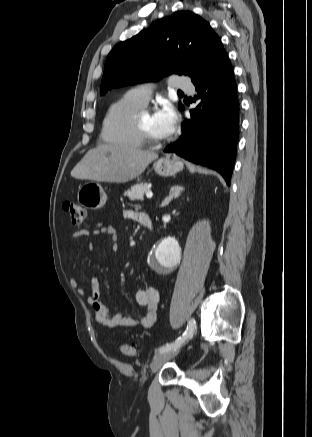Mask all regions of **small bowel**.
I'll return each mask as SVG.
<instances>
[{
    "label": "small bowel",
    "instance_id": "obj_1",
    "mask_svg": "<svg viewBox=\"0 0 312 437\" xmlns=\"http://www.w3.org/2000/svg\"><path fill=\"white\" fill-rule=\"evenodd\" d=\"M125 215L134 221L141 223L144 214L126 211ZM90 235H107L111 239L112 248H117L118 233L114 226H105L99 230H79L72 235V240L76 241L81 238L89 237ZM72 287L76 288L81 295H84V289L78 286L74 280H70ZM90 294L86 296V302L93 308L95 319L103 326L112 329L119 328H151L157 319V311L159 304V294L155 287L146 285L135 293L136 302L143 308V313L139 317L123 315L120 312H111L107 306L100 301V283L98 279L91 278L89 280Z\"/></svg>",
    "mask_w": 312,
    "mask_h": 437
}]
</instances>
